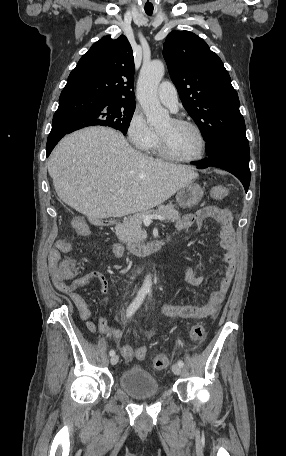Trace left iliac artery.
Returning <instances> with one entry per match:
<instances>
[{"label": "left iliac artery", "instance_id": "left-iliac-artery-1", "mask_svg": "<svg viewBox=\"0 0 286 456\" xmlns=\"http://www.w3.org/2000/svg\"><path fill=\"white\" fill-rule=\"evenodd\" d=\"M149 294H151V292H149ZM177 364L180 366V367H183L184 363L182 360H178Z\"/></svg>", "mask_w": 286, "mask_h": 456}]
</instances>
